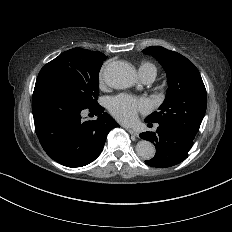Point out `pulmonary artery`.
Returning <instances> with one entry per match:
<instances>
[{"label": "pulmonary artery", "mask_w": 232, "mask_h": 232, "mask_svg": "<svg viewBox=\"0 0 232 232\" xmlns=\"http://www.w3.org/2000/svg\"><path fill=\"white\" fill-rule=\"evenodd\" d=\"M138 75L136 84L141 89L148 88L154 79L153 70L148 65L141 66L138 70Z\"/></svg>", "instance_id": "obj_1"}]
</instances>
